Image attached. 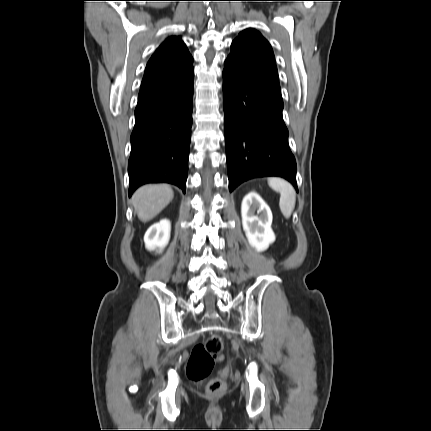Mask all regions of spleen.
<instances>
[{"mask_svg":"<svg viewBox=\"0 0 431 431\" xmlns=\"http://www.w3.org/2000/svg\"><path fill=\"white\" fill-rule=\"evenodd\" d=\"M268 184L273 190L280 193V210L285 218H289L296 203V192L293 186L289 182L276 177L269 178Z\"/></svg>","mask_w":431,"mask_h":431,"instance_id":"spleen-1","label":"spleen"}]
</instances>
